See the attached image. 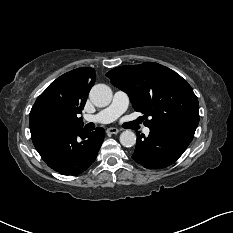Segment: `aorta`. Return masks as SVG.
I'll return each mask as SVG.
<instances>
[{"instance_id": "762f6f07", "label": "aorta", "mask_w": 233, "mask_h": 233, "mask_svg": "<svg viewBox=\"0 0 233 233\" xmlns=\"http://www.w3.org/2000/svg\"><path fill=\"white\" fill-rule=\"evenodd\" d=\"M89 97L97 107H105L111 103L112 90L105 84H97L92 87ZM120 143L125 147H131L136 144V135L131 130H125L120 135Z\"/></svg>"}]
</instances>
